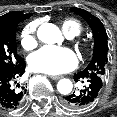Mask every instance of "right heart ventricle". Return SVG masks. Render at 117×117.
Masks as SVG:
<instances>
[{
  "label": "right heart ventricle",
  "instance_id": "e07e8e85",
  "mask_svg": "<svg viewBox=\"0 0 117 117\" xmlns=\"http://www.w3.org/2000/svg\"><path fill=\"white\" fill-rule=\"evenodd\" d=\"M62 28H63L64 32L68 36H71V37L78 35L82 30V26L79 23V21H77L74 18L64 19L62 21Z\"/></svg>",
  "mask_w": 117,
  "mask_h": 117
}]
</instances>
